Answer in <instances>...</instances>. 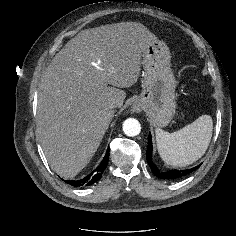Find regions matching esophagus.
<instances>
[{"instance_id":"34e87169","label":"esophagus","mask_w":236,"mask_h":236,"mask_svg":"<svg viewBox=\"0 0 236 236\" xmlns=\"http://www.w3.org/2000/svg\"><path fill=\"white\" fill-rule=\"evenodd\" d=\"M131 110H132L133 112L139 113V112L141 111V105L138 104V103H135V104L132 106Z\"/></svg>"}]
</instances>
